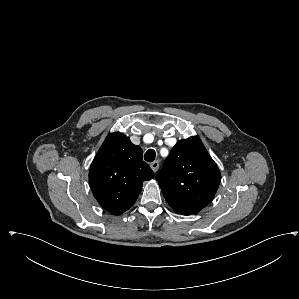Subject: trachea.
<instances>
[{
	"label": "trachea",
	"instance_id": "trachea-1",
	"mask_svg": "<svg viewBox=\"0 0 299 299\" xmlns=\"http://www.w3.org/2000/svg\"><path fill=\"white\" fill-rule=\"evenodd\" d=\"M155 157H156V152L153 149H149L144 155V159L147 162H153L155 160Z\"/></svg>",
	"mask_w": 299,
	"mask_h": 299
}]
</instances>
